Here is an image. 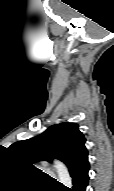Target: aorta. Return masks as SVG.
<instances>
[{"mask_svg": "<svg viewBox=\"0 0 114 191\" xmlns=\"http://www.w3.org/2000/svg\"><path fill=\"white\" fill-rule=\"evenodd\" d=\"M54 167L56 169V172L58 174V179L60 183H62L64 186L71 188L72 187V179L69 174V171L67 167L60 161L55 160L54 161Z\"/></svg>", "mask_w": 114, "mask_h": 191, "instance_id": "obj_1", "label": "aorta"}]
</instances>
